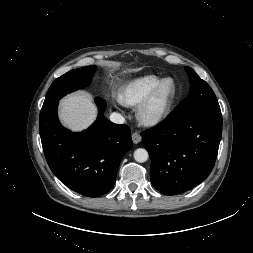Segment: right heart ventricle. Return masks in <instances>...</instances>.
<instances>
[{
  "label": "right heart ventricle",
  "instance_id": "right-heart-ventricle-1",
  "mask_svg": "<svg viewBox=\"0 0 253 253\" xmlns=\"http://www.w3.org/2000/svg\"><path fill=\"white\" fill-rule=\"evenodd\" d=\"M156 75H143L125 82L119 90L120 101L127 106L139 105L159 83Z\"/></svg>",
  "mask_w": 253,
  "mask_h": 253
}]
</instances>
